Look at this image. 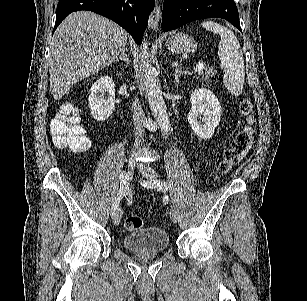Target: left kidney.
<instances>
[{
    "label": "left kidney",
    "instance_id": "obj_1",
    "mask_svg": "<svg viewBox=\"0 0 307 301\" xmlns=\"http://www.w3.org/2000/svg\"><path fill=\"white\" fill-rule=\"evenodd\" d=\"M188 122L199 138H211L221 118V104L209 88H195L190 96Z\"/></svg>",
    "mask_w": 307,
    "mask_h": 301
}]
</instances>
